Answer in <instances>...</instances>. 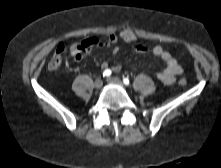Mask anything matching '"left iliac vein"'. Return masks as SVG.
<instances>
[{
    "label": "left iliac vein",
    "mask_w": 221,
    "mask_h": 168,
    "mask_svg": "<svg viewBox=\"0 0 221 168\" xmlns=\"http://www.w3.org/2000/svg\"><path fill=\"white\" fill-rule=\"evenodd\" d=\"M107 81L111 84H115V85H119V86H123L122 81L117 78V77H112V78H107Z\"/></svg>",
    "instance_id": "4c4485c4"
}]
</instances>
